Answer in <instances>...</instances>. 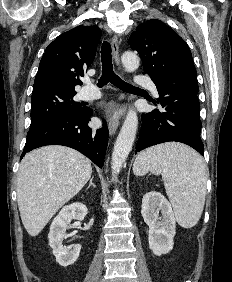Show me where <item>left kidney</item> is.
<instances>
[{
	"label": "left kidney",
	"mask_w": 232,
	"mask_h": 282,
	"mask_svg": "<svg viewBox=\"0 0 232 282\" xmlns=\"http://www.w3.org/2000/svg\"><path fill=\"white\" fill-rule=\"evenodd\" d=\"M141 214L149 226L148 242L152 252L160 256L171 251L176 219L169 201L161 193L150 191L143 196Z\"/></svg>",
	"instance_id": "left-kidney-1"
}]
</instances>
